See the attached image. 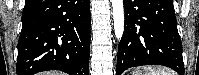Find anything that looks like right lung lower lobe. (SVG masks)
I'll use <instances>...</instances> for the list:
<instances>
[{
	"label": "right lung lower lobe",
	"mask_w": 199,
	"mask_h": 75,
	"mask_svg": "<svg viewBox=\"0 0 199 75\" xmlns=\"http://www.w3.org/2000/svg\"><path fill=\"white\" fill-rule=\"evenodd\" d=\"M90 21L89 0H25L17 75H88Z\"/></svg>",
	"instance_id": "98d812e1"
}]
</instances>
